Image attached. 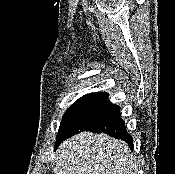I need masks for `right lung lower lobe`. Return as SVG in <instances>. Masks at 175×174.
Instances as JSON below:
<instances>
[{"mask_svg": "<svg viewBox=\"0 0 175 174\" xmlns=\"http://www.w3.org/2000/svg\"><path fill=\"white\" fill-rule=\"evenodd\" d=\"M108 93H92L72 119L56 147L69 137L82 132L107 133L122 139L133 150V138L127 133L125 122L120 118V107L108 101Z\"/></svg>", "mask_w": 175, "mask_h": 174, "instance_id": "right-lung-lower-lobe-1", "label": "right lung lower lobe"}]
</instances>
